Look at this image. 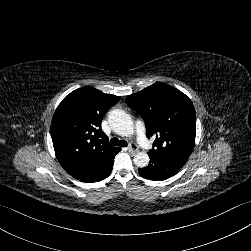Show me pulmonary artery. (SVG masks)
Segmentation results:
<instances>
[{"mask_svg": "<svg viewBox=\"0 0 251 251\" xmlns=\"http://www.w3.org/2000/svg\"><path fill=\"white\" fill-rule=\"evenodd\" d=\"M134 131L136 140L139 142V147L146 151L152 150V144L148 143V134L144 130V124L142 119H137L134 122Z\"/></svg>", "mask_w": 251, "mask_h": 251, "instance_id": "e3ab8cb5", "label": "pulmonary artery"}]
</instances>
